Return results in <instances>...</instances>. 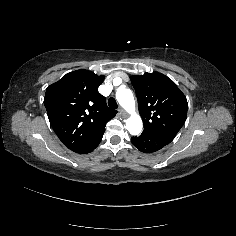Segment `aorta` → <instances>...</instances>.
I'll list each match as a JSON object with an SVG mask.
<instances>
[{
  "mask_svg": "<svg viewBox=\"0 0 236 236\" xmlns=\"http://www.w3.org/2000/svg\"><path fill=\"white\" fill-rule=\"evenodd\" d=\"M117 102L129 111L134 110L135 100L131 89L123 88L115 91ZM143 124L138 116L130 117L126 122V129L132 136H138L142 132Z\"/></svg>",
  "mask_w": 236,
  "mask_h": 236,
  "instance_id": "762f6f07",
  "label": "aorta"
}]
</instances>
